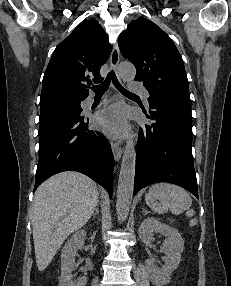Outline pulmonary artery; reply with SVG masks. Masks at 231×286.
Here are the masks:
<instances>
[{
  "instance_id": "e3ab8cb5",
  "label": "pulmonary artery",
  "mask_w": 231,
  "mask_h": 286,
  "mask_svg": "<svg viewBox=\"0 0 231 286\" xmlns=\"http://www.w3.org/2000/svg\"><path fill=\"white\" fill-rule=\"evenodd\" d=\"M130 89L134 93L141 94L143 98L145 99V101L148 102L149 92L144 88L142 84H140L139 82L133 81L130 83ZM93 102H94L93 98L87 99L86 106H91Z\"/></svg>"
}]
</instances>
